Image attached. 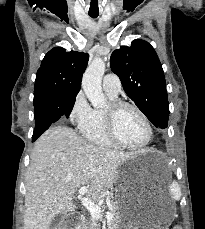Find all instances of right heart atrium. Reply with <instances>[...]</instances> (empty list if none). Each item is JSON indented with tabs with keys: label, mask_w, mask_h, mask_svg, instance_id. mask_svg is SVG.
Instances as JSON below:
<instances>
[{
	"label": "right heart atrium",
	"mask_w": 205,
	"mask_h": 229,
	"mask_svg": "<svg viewBox=\"0 0 205 229\" xmlns=\"http://www.w3.org/2000/svg\"><path fill=\"white\" fill-rule=\"evenodd\" d=\"M92 117L93 108L87 101L85 94L79 91L71 104L69 119L78 129H81L91 121Z\"/></svg>",
	"instance_id": "d8ad5b80"
}]
</instances>
